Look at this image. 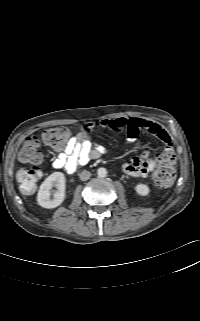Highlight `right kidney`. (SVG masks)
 Wrapping results in <instances>:
<instances>
[{
	"label": "right kidney",
	"instance_id": "1",
	"mask_svg": "<svg viewBox=\"0 0 200 321\" xmlns=\"http://www.w3.org/2000/svg\"><path fill=\"white\" fill-rule=\"evenodd\" d=\"M65 176L61 172H54L41 184L37 194L38 204L47 209L56 208L65 199ZM55 187L57 190L52 192Z\"/></svg>",
	"mask_w": 200,
	"mask_h": 321
}]
</instances>
